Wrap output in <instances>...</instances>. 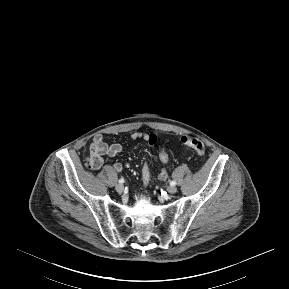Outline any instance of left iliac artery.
I'll list each match as a JSON object with an SVG mask.
<instances>
[{
  "instance_id": "obj_1",
  "label": "left iliac artery",
  "mask_w": 289,
  "mask_h": 289,
  "mask_svg": "<svg viewBox=\"0 0 289 289\" xmlns=\"http://www.w3.org/2000/svg\"><path fill=\"white\" fill-rule=\"evenodd\" d=\"M170 185H171V186H175V185H176V181H171V182H170Z\"/></svg>"
}]
</instances>
